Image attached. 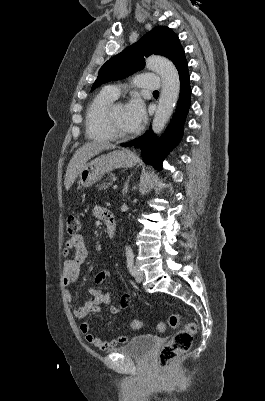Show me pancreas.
Returning a JSON list of instances; mask_svg holds the SVG:
<instances>
[{
    "instance_id": "cf45deb5",
    "label": "pancreas",
    "mask_w": 265,
    "mask_h": 401,
    "mask_svg": "<svg viewBox=\"0 0 265 401\" xmlns=\"http://www.w3.org/2000/svg\"><path fill=\"white\" fill-rule=\"evenodd\" d=\"M114 178H116L115 174H109V176H106V178H103L101 184H97L98 190H106V188H109L110 184H112ZM106 180H110V182H106Z\"/></svg>"
}]
</instances>
